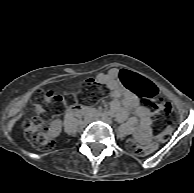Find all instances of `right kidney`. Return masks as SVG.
Here are the masks:
<instances>
[{
	"label": "right kidney",
	"mask_w": 194,
	"mask_h": 193,
	"mask_svg": "<svg viewBox=\"0 0 194 193\" xmlns=\"http://www.w3.org/2000/svg\"><path fill=\"white\" fill-rule=\"evenodd\" d=\"M51 131L53 136H58L61 131L60 122H55Z\"/></svg>",
	"instance_id": "right-kidney-1"
}]
</instances>
